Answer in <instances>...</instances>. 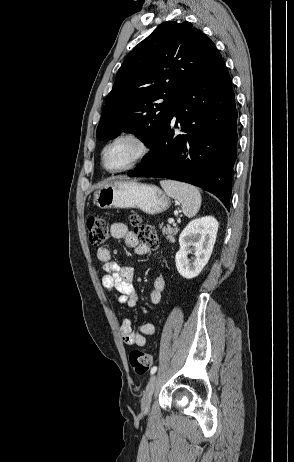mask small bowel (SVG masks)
Returning <instances> with one entry per match:
<instances>
[{
  "label": "small bowel",
  "instance_id": "c3829d8e",
  "mask_svg": "<svg viewBox=\"0 0 294 462\" xmlns=\"http://www.w3.org/2000/svg\"><path fill=\"white\" fill-rule=\"evenodd\" d=\"M111 235L120 239L124 244L134 250L137 255H146L150 249L139 243L136 235L131 232L124 223H114L111 226ZM97 258L102 264L105 274L102 277V285L108 291L117 294L118 301L128 307H135L138 303V295L133 285L135 271L131 266H121L112 260L111 252L107 247L97 250ZM165 278L157 276L153 280V287L149 294L152 304H158L162 292L165 289ZM120 333L124 343L129 345L145 346L147 337L155 333L152 323L142 324L138 330H133L131 321L126 318L120 325Z\"/></svg>",
  "mask_w": 294,
  "mask_h": 462
}]
</instances>
